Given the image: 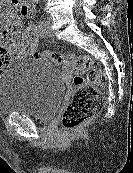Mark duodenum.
Segmentation results:
<instances>
[{
    "label": "duodenum",
    "mask_w": 133,
    "mask_h": 173,
    "mask_svg": "<svg viewBox=\"0 0 133 173\" xmlns=\"http://www.w3.org/2000/svg\"><path fill=\"white\" fill-rule=\"evenodd\" d=\"M16 3H20V6L24 13L29 14L30 13V3L29 0H14Z\"/></svg>",
    "instance_id": "1"
}]
</instances>
